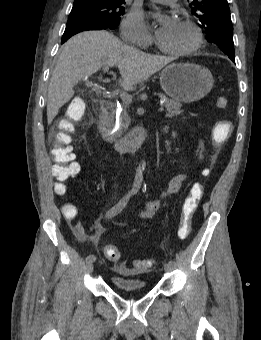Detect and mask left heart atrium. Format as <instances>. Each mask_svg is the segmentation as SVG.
<instances>
[{
  "instance_id": "obj_1",
  "label": "left heart atrium",
  "mask_w": 261,
  "mask_h": 340,
  "mask_svg": "<svg viewBox=\"0 0 261 340\" xmlns=\"http://www.w3.org/2000/svg\"><path fill=\"white\" fill-rule=\"evenodd\" d=\"M178 21L175 17L166 15L160 21V27L157 32V36L159 39L168 36L172 33L178 25Z\"/></svg>"
}]
</instances>
